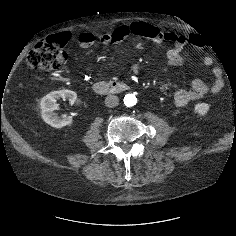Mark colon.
Masks as SVG:
<instances>
[{
  "label": "colon",
  "mask_w": 236,
  "mask_h": 236,
  "mask_svg": "<svg viewBox=\"0 0 236 236\" xmlns=\"http://www.w3.org/2000/svg\"><path fill=\"white\" fill-rule=\"evenodd\" d=\"M65 42L57 35L37 44L27 55L26 66L32 70L52 71L67 61Z\"/></svg>",
  "instance_id": "colon-1"
}]
</instances>
